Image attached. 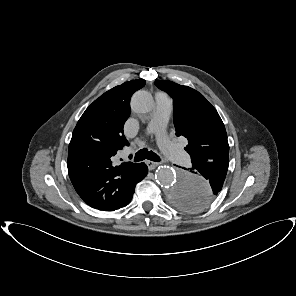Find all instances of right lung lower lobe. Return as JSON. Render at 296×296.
<instances>
[{"label":"right lung lower lobe","mask_w":296,"mask_h":296,"mask_svg":"<svg viewBox=\"0 0 296 296\" xmlns=\"http://www.w3.org/2000/svg\"><path fill=\"white\" fill-rule=\"evenodd\" d=\"M148 173V168L144 163H138L134 167V169L131 172V178H130V195L127 200V202L123 205L126 206L130 203L134 190H135V185L140 182Z\"/></svg>","instance_id":"right-lung-lower-lobe-1"}]
</instances>
